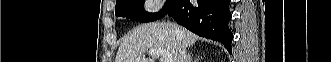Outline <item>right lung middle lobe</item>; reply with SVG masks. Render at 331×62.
<instances>
[{"label":"right lung middle lobe","instance_id":"1","mask_svg":"<svg viewBox=\"0 0 331 62\" xmlns=\"http://www.w3.org/2000/svg\"><path fill=\"white\" fill-rule=\"evenodd\" d=\"M179 0H168L158 13H147L143 10V0H119L116 2V17H126L139 22H152L165 16Z\"/></svg>","mask_w":331,"mask_h":62}]
</instances>
